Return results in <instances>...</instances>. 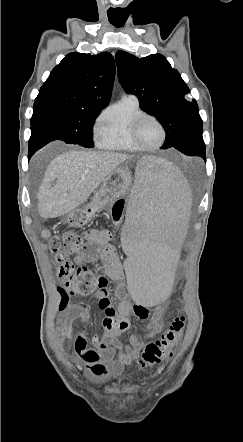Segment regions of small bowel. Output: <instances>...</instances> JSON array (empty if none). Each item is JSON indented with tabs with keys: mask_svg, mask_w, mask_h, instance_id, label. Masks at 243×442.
Wrapping results in <instances>:
<instances>
[{
	"mask_svg": "<svg viewBox=\"0 0 243 442\" xmlns=\"http://www.w3.org/2000/svg\"><path fill=\"white\" fill-rule=\"evenodd\" d=\"M83 237L89 244L82 255L83 260L103 265L107 278L117 282L116 294L120 298L116 303L111 302L106 276H97L96 306L102 312L103 332L88 338L84 331H80L73 345L75 361L83 365L93 379L105 380L119 376L139 356L145 340L161 332L162 308L155 307L150 317L146 307H136L134 304L131 308L126 300L128 286L123 281V266L111 244L112 233L108 229H89L84 231ZM132 310L140 319L149 318L147 333L144 338L132 335L130 345L123 346L119 337L129 328L128 316ZM60 311L63 314L62 329L68 335L76 320L86 322L90 317V307L85 302H76L67 308L60 307Z\"/></svg>",
	"mask_w": 243,
	"mask_h": 442,
	"instance_id": "c3829d8e",
	"label": "small bowel"
}]
</instances>
